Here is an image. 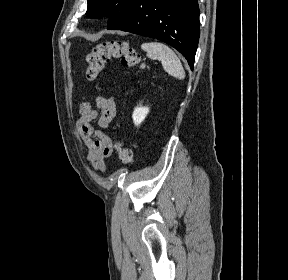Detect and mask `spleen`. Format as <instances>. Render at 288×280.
Listing matches in <instances>:
<instances>
[{"instance_id":"spleen-1","label":"spleen","mask_w":288,"mask_h":280,"mask_svg":"<svg viewBox=\"0 0 288 280\" xmlns=\"http://www.w3.org/2000/svg\"><path fill=\"white\" fill-rule=\"evenodd\" d=\"M141 48L147 53L149 58L160 60L168 74L180 80L185 78V71L179 58L167 45L159 42H148L143 43Z\"/></svg>"}]
</instances>
